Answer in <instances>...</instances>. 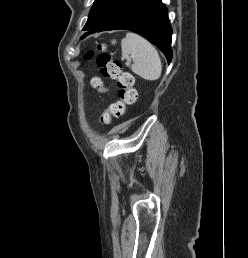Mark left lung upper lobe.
Listing matches in <instances>:
<instances>
[{"label": "left lung upper lobe", "instance_id": "left-lung-upper-lobe-1", "mask_svg": "<svg viewBox=\"0 0 248 258\" xmlns=\"http://www.w3.org/2000/svg\"><path fill=\"white\" fill-rule=\"evenodd\" d=\"M127 1L128 0H95L83 30L89 31L99 25L113 15Z\"/></svg>", "mask_w": 248, "mask_h": 258}]
</instances>
